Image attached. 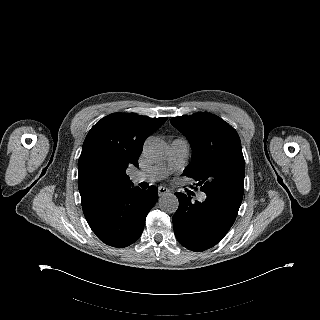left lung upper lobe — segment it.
Wrapping results in <instances>:
<instances>
[{
    "instance_id": "1",
    "label": "left lung upper lobe",
    "mask_w": 320,
    "mask_h": 320,
    "mask_svg": "<svg viewBox=\"0 0 320 320\" xmlns=\"http://www.w3.org/2000/svg\"><path fill=\"white\" fill-rule=\"evenodd\" d=\"M170 122L192 148L191 163L183 175L198 181L206 194L227 196L241 204L245 163L236 130L210 113L174 117Z\"/></svg>"
}]
</instances>
